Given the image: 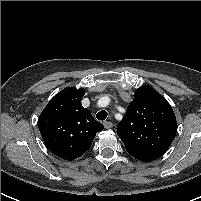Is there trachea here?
<instances>
[{"label": "trachea", "mask_w": 201, "mask_h": 201, "mask_svg": "<svg viewBox=\"0 0 201 201\" xmlns=\"http://www.w3.org/2000/svg\"><path fill=\"white\" fill-rule=\"evenodd\" d=\"M96 118L102 121L105 120L107 118V112L105 110L98 112Z\"/></svg>", "instance_id": "1"}]
</instances>
